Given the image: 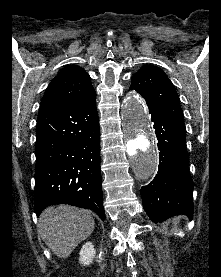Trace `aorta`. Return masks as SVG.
I'll return each mask as SVG.
<instances>
[{
  "mask_svg": "<svg viewBox=\"0 0 221 277\" xmlns=\"http://www.w3.org/2000/svg\"><path fill=\"white\" fill-rule=\"evenodd\" d=\"M120 116L127 151L137 177L148 179L157 169L158 158L151 124L142 99L128 94L121 104Z\"/></svg>",
  "mask_w": 221,
  "mask_h": 277,
  "instance_id": "obj_1",
  "label": "aorta"
}]
</instances>
